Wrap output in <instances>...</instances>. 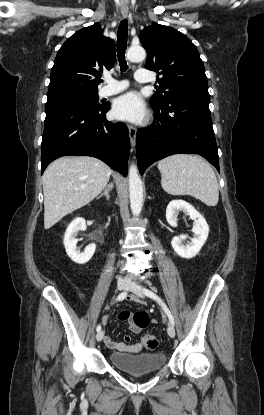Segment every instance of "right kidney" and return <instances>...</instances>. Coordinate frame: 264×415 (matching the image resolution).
I'll return each instance as SVG.
<instances>
[{"instance_id": "ca27d5eb", "label": "right kidney", "mask_w": 264, "mask_h": 415, "mask_svg": "<svg viewBox=\"0 0 264 415\" xmlns=\"http://www.w3.org/2000/svg\"><path fill=\"white\" fill-rule=\"evenodd\" d=\"M86 229V222L83 218H76L74 219L67 227L65 235H64V246L66 249L67 255L70 259L77 263V264H85L87 263L95 253L96 245L90 244L88 245L84 252H80L77 249L76 244L78 239L75 238V235L80 230Z\"/></svg>"}]
</instances>
